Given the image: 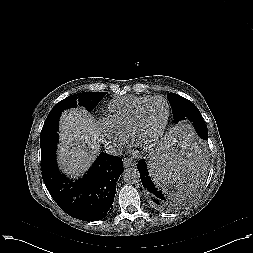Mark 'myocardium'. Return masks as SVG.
<instances>
[{"label":"myocardium","instance_id":"1","mask_svg":"<svg viewBox=\"0 0 253 253\" xmlns=\"http://www.w3.org/2000/svg\"><path fill=\"white\" fill-rule=\"evenodd\" d=\"M156 99H161V100H164L165 103H166V106H167V113H166V118L164 120V123L162 125V127L160 128V130L157 132V134L150 140L148 141L147 143L145 144H138L136 143L135 141V132L137 130V127H138V124L140 122V119H141V115H142V112L144 110V108L153 100H156ZM170 114H171V105H170V102L169 100L164 97V96H161V95H156V96H151L149 97L146 101H144L136 110L133 118H132V121L130 123V126L128 128V131H127V137L129 138V140L134 143V144H138L140 145L142 148H145V149H149V148H152L154 147L159 141L160 139L162 138V136L164 135L165 131H166V128L168 126V122H169V119H170Z\"/></svg>","mask_w":253,"mask_h":253}]
</instances>
